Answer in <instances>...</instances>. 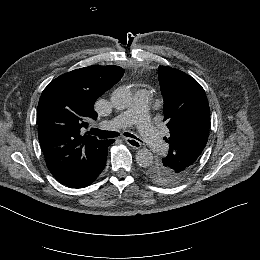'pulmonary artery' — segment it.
I'll return each mask as SVG.
<instances>
[{"mask_svg": "<svg viewBox=\"0 0 260 260\" xmlns=\"http://www.w3.org/2000/svg\"><path fill=\"white\" fill-rule=\"evenodd\" d=\"M151 97L148 94H141L135 102V108L129 113L117 115L114 118V125L117 128H126L132 123L139 124L141 136L146 141L149 148L154 152H162L165 149V142L157 135L153 129L150 113Z\"/></svg>", "mask_w": 260, "mask_h": 260, "instance_id": "e3ab8cb5", "label": "pulmonary artery"}]
</instances>
